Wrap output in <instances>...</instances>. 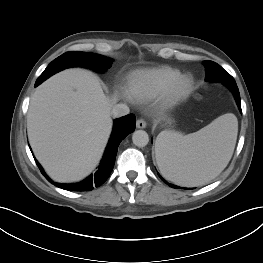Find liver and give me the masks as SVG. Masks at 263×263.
I'll list each match as a JSON object with an SVG mask.
<instances>
[{
    "label": "liver",
    "instance_id": "6515ba94",
    "mask_svg": "<svg viewBox=\"0 0 263 263\" xmlns=\"http://www.w3.org/2000/svg\"><path fill=\"white\" fill-rule=\"evenodd\" d=\"M111 108L99 78L87 70H64L38 86L27 114L28 138L53 180L79 181L93 171L111 133Z\"/></svg>",
    "mask_w": 263,
    "mask_h": 263
}]
</instances>
